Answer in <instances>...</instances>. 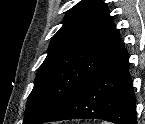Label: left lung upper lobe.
<instances>
[{
	"label": "left lung upper lobe",
	"mask_w": 145,
	"mask_h": 124,
	"mask_svg": "<svg viewBox=\"0 0 145 124\" xmlns=\"http://www.w3.org/2000/svg\"><path fill=\"white\" fill-rule=\"evenodd\" d=\"M121 47L109 9L101 0H82L53 36L37 72L23 124H42Z\"/></svg>",
	"instance_id": "obj_1"
}]
</instances>
